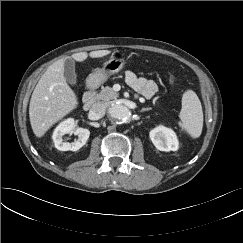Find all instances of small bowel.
I'll use <instances>...</instances> for the list:
<instances>
[{"mask_svg":"<svg viewBox=\"0 0 243 243\" xmlns=\"http://www.w3.org/2000/svg\"><path fill=\"white\" fill-rule=\"evenodd\" d=\"M125 80L137 94L145 98L153 97L158 91V85L155 81L139 77L131 71L125 73Z\"/></svg>","mask_w":243,"mask_h":243,"instance_id":"1","label":"small bowel"}]
</instances>
